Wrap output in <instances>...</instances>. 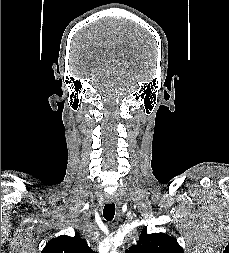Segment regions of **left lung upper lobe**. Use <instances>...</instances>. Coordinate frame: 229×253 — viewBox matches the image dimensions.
I'll use <instances>...</instances> for the list:
<instances>
[{
	"label": "left lung upper lobe",
	"instance_id": "left-lung-upper-lobe-1",
	"mask_svg": "<svg viewBox=\"0 0 229 253\" xmlns=\"http://www.w3.org/2000/svg\"><path fill=\"white\" fill-rule=\"evenodd\" d=\"M125 253H184L175 238L164 233L147 234L143 229L137 245L129 247Z\"/></svg>",
	"mask_w": 229,
	"mask_h": 253
}]
</instances>
